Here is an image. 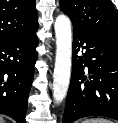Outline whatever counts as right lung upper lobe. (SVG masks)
Here are the masks:
<instances>
[{"instance_id": "right-lung-upper-lobe-1", "label": "right lung upper lobe", "mask_w": 118, "mask_h": 123, "mask_svg": "<svg viewBox=\"0 0 118 123\" xmlns=\"http://www.w3.org/2000/svg\"><path fill=\"white\" fill-rule=\"evenodd\" d=\"M35 0H0V42L23 38L38 29Z\"/></svg>"}]
</instances>
